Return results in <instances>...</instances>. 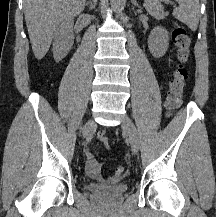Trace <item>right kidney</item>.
Returning a JSON list of instances; mask_svg holds the SVG:
<instances>
[{
  "label": "right kidney",
  "instance_id": "ca27d5eb",
  "mask_svg": "<svg viewBox=\"0 0 216 217\" xmlns=\"http://www.w3.org/2000/svg\"><path fill=\"white\" fill-rule=\"evenodd\" d=\"M73 43V21L68 19L61 23L54 34L53 56L55 61H61L66 57L68 52L71 50Z\"/></svg>",
  "mask_w": 216,
  "mask_h": 217
}]
</instances>
